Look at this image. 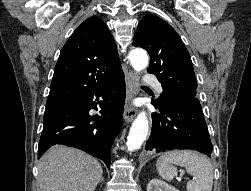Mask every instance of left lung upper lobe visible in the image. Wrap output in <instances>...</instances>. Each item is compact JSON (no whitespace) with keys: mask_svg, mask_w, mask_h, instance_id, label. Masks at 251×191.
Returning a JSON list of instances; mask_svg holds the SVG:
<instances>
[{"mask_svg":"<svg viewBox=\"0 0 251 191\" xmlns=\"http://www.w3.org/2000/svg\"><path fill=\"white\" fill-rule=\"evenodd\" d=\"M132 44L150 55L148 72L156 75L163 88L158 102L196 97L197 80L189 52L167 22L146 15L139 22Z\"/></svg>","mask_w":251,"mask_h":191,"instance_id":"1","label":"left lung upper lobe"}]
</instances>
